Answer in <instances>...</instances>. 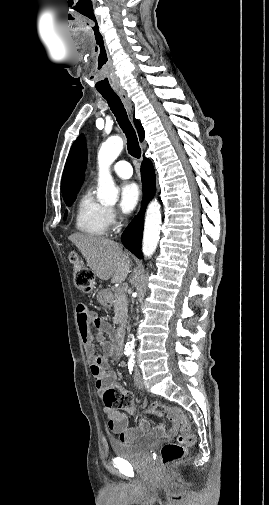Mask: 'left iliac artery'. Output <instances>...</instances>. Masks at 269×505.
I'll return each instance as SVG.
<instances>
[{"label": "left iliac artery", "instance_id": "1", "mask_svg": "<svg viewBox=\"0 0 269 505\" xmlns=\"http://www.w3.org/2000/svg\"><path fill=\"white\" fill-rule=\"evenodd\" d=\"M134 355H131L129 360H128V369H129V372L131 374L132 370H133V367H134Z\"/></svg>", "mask_w": 269, "mask_h": 505}]
</instances>
